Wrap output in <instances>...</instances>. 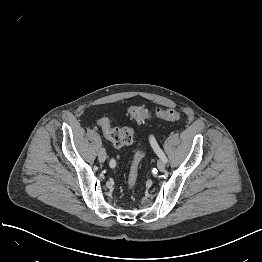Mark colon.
<instances>
[{"instance_id": "5ec220e1", "label": "colon", "mask_w": 262, "mask_h": 262, "mask_svg": "<svg viewBox=\"0 0 262 262\" xmlns=\"http://www.w3.org/2000/svg\"><path fill=\"white\" fill-rule=\"evenodd\" d=\"M129 114L137 121H144L153 117L169 121H178L181 118V114L174 108H158L154 111L146 109L141 106H131ZM101 128L103 129L108 140L117 148L127 145L132 142L134 137V130L130 127L113 128L110 125L108 118H102L99 121ZM145 156V150L139 151L131 164V169L128 175L127 189L132 191L138 181V173L140 163Z\"/></svg>"}]
</instances>
